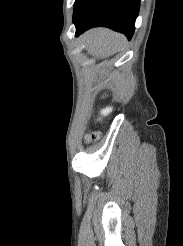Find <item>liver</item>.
<instances>
[{
  "label": "liver",
  "mask_w": 183,
  "mask_h": 246,
  "mask_svg": "<svg viewBox=\"0 0 183 246\" xmlns=\"http://www.w3.org/2000/svg\"><path fill=\"white\" fill-rule=\"evenodd\" d=\"M82 41L86 45V50L98 58H106L121 47L126 38L105 28H95L87 31L82 36Z\"/></svg>",
  "instance_id": "obj_1"
}]
</instances>
